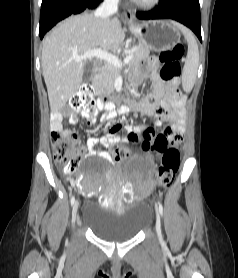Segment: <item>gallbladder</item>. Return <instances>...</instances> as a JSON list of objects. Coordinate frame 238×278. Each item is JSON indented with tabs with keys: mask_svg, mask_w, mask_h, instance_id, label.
Masks as SVG:
<instances>
[{
	"mask_svg": "<svg viewBox=\"0 0 238 278\" xmlns=\"http://www.w3.org/2000/svg\"><path fill=\"white\" fill-rule=\"evenodd\" d=\"M92 68H93L92 63L85 64L83 77H82L83 82H88L89 81L91 73H92Z\"/></svg>",
	"mask_w": 238,
	"mask_h": 278,
	"instance_id": "gallbladder-1",
	"label": "gallbladder"
}]
</instances>
